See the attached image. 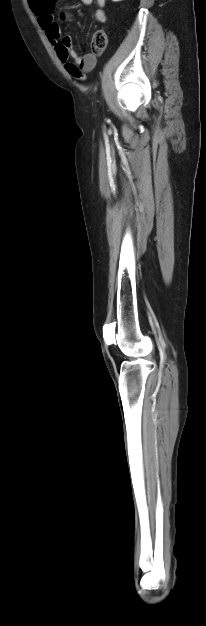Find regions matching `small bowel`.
<instances>
[{"instance_id": "1", "label": "small bowel", "mask_w": 206, "mask_h": 626, "mask_svg": "<svg viewBox=\"0 0 206 626\" xmlns=\"http://www.w3.org/2000/svg\"><path fill=\"white\" fill-rule=\"evenodd\" d=\"M85 5L96 3L95 19L100 23L107 21L104 8L107 0H81ZM54 0H29L33 12L38 17V23L45 32L50 44L53 46L58 59L65 70L79 80L85 78V73L91 71L96 64V57L92 54H78L72 46V40L67 35H62L60 26L54 18ZM69 14H62V19H67ZM72 59V61L70 60Z\"/></svg>"}]
</instances>
